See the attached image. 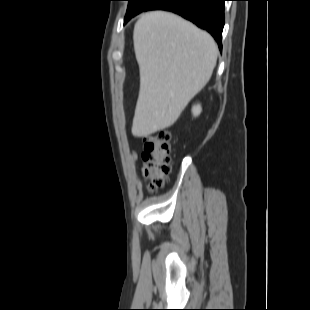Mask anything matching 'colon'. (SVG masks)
I'll return each mask as SVG.
<instances>
[{
  "mask_svg": "<svg viewBox=\"0 0 310 310\" xmlns=\"http://www.w3.org/2000/svg\"><path fill=\"white\" fill-rule=\"evenodd\" d=\"M142 174L147 188L156 191L164 185L165 177L170 172V133L160 131L143 138Z\"/></svg>",
  "mask_w": 310,
  "mask_h": 310,
  "instance_id": "1",
  "label": "colon"
}]
</instances>
